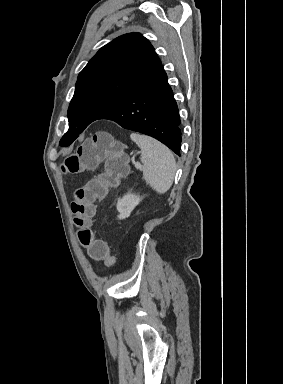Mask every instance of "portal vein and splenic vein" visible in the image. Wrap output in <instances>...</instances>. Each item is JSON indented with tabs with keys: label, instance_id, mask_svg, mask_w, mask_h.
I'll list each match as a JSON object with an SVG mask.
<instances>
[{
	"label": "portal vein and splenic vein",
	"instance_id": "obj_1",
	"mask_svg": "<svg viewBox=\"0 0 283 384\" xmlns=\"http://www.w3.org/2000/svg\"><path fill=\"white\" fill-rule=\"evenodd\" d=\"M135 168H138V170H140L141 166H140L139 162H136Z\"/></svg>",
	"mask_w": 283,
	"mask_h": 384
}]
</instances>
